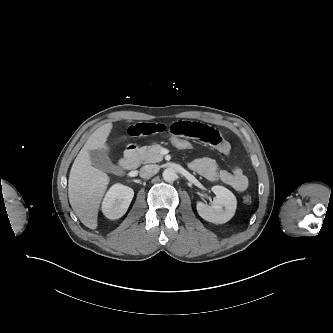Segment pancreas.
I'll return each instance as SVG.
<instances>
[{
  "instance_id": "pancreas-1",
  "label": "pancreas",
  "mask_w": 333,
  "mask_h": 333,
  "mask_svg": "<svg viewBox=\"0 0 333 333\" xmlns=\"http://www.w3.org/2000/svg\"><path fill=\"white\" fill-rule=\"evenodd\" d=\"M162 149L160 144L144 146L139 149V160L144 164L161 162L163 160V155L160 153Z\"/></svg>"
}]
</instances>
